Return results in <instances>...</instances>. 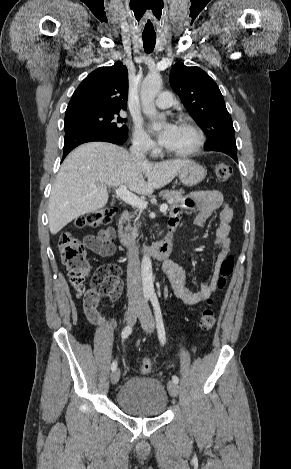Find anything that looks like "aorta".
Returning <instances> with one entry per match:
<instances>
[{"mask_svg":"<svg viewBox=\"0 0 291 469\" xmlns=\"http://www.w3.org/2000/svg\"><path fill=\"white\" fill-rule=\"evenodd\" d=\"M162 87V78L159 74L148 75L142 82L140 98L143 113L147 117L158 115L154 105V100ZM161 117H164L161 115ZM142 286L145 294L154 293L152 262L149 255H144L141 262Z\"/></svg>","mask_w":291,"mask_h":469,"instance_id":"1","label":"aorta"}]
</instances>
